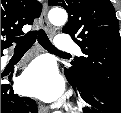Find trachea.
<instances>
[{
  "label": "trachea",
  "mask_w": 121,
  "mask_h": 113,
  "mask_svg": "<svg viewBox=\"0 0 121 113\" xmlns=\"http://www.w3.org/2000/svg\"><path fill=\"white\" fill-rule=\"evenodd\" d=\"M37 38L40 45L46 50H48L49 52L68 55V53L61 52L55 48V46L50 42L49 38L47 37L43 29L30 32L29 34L20 38H15L14 41L15 43H17L16 49L28 50Z\"/></svg>",
  "instance_id": "3493384b"
}]
</instances>
